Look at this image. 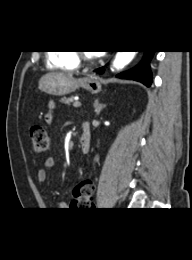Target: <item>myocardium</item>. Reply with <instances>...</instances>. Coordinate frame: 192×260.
<instances>
[{
  "mask_svg": "<svg viewBox=\"0 0 192 260\" xmlns=\"http://www.w3.org/2000/svg\"><path fill=\"white\" fill-rule=\"evenodd\" d=\"M75 54L79 61H82L86 64H93L97 60V55H90L87 52L76 51Z\"/></svg>",
  "mask_w": 192,
  "mask_h": 260,
  "instance_id": "1",
  "label": "myocardium"
}]
</instances>
